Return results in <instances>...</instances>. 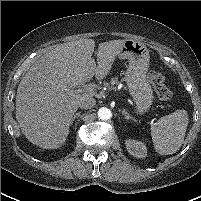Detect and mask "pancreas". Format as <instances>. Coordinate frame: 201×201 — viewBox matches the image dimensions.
<instances>
[{"instance_id": "cf45deb5", "label": "pancreas", "mask_w": 201, "mask_h": 201, "mask_svg": "<svg viewBox=\"0 0 201 201\" xmlns=\"http://www.w3.org/2000/svg\"><path fill=\"white\" fill-rule=\"evenodd\" d=\"M118 84H119L118 78L115 77L111 79L110 84H107V86L110 88H115V86Z\"/></svg>"}]
</instances>
